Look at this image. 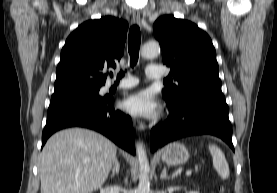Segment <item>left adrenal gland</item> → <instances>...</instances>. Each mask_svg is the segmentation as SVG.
Wrapping results in <instances>:
<instances>
[{
  "instance_id": "1",
  "label": "left adrenal gland",
  "mask_w": 277,
  "mask_h": 193,
  "mask_svg": "<svg viewBox=\"0 0 277 193\" xmlns=\"http://www.w3.org/2000/svg\"><path fill=\"white\" fill-rule=\"evenodd\" d=\"M169 178L170 176L167 175L166 168L164 167L160 175V179L163 180V179H169Z\"/></svg>"
}]
</instances>
